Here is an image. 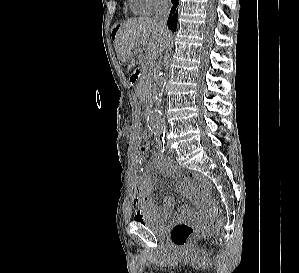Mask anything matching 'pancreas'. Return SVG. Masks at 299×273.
Masks as SVG:
<instances>
[{"mask_svg":"<svg viewBox=\"0 0 299 273\" xmlns=\"http://www.w3.org/2000/svg\"><path fill=\"white\" fill-rule=\"evenodd\" d=\"M149 85V80L147 79V77H142L138 83H137V92L139 94H146L148 91V86Z\"/></svg>","mask_w":299,"mask_h":273,"instance_id":"cf45deb5","label":"pancreas"}]
</instances>
